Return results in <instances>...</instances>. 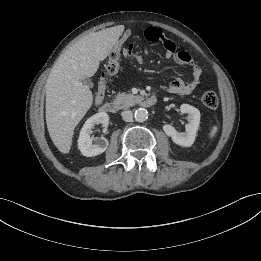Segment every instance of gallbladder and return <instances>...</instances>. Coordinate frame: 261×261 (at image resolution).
I'll list each match as a JSON object with an SVG mask.
<instances>
[{
    "mask_svg": "<svg viewBox=\"0 0 261 261\" xmlns=\"http://www.w3.org/2000/svg\"><path fill=\"white\" fill-rule=\"evenodd\" d=\"M83 83L89 87L93 86V83L90 79L86 78L83 80Z\"/></svg>",
    "mask_w": 261,
    "mask_h": 261,
    "instance_id": "1",
    "label": "gallbladder"
}]
</instances>
